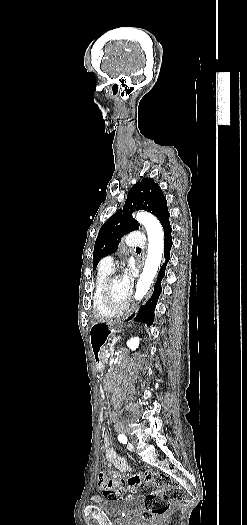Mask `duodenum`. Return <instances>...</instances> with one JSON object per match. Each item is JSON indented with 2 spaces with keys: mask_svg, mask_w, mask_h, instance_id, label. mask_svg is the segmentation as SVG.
I'll return each instance as SVG.
<instances>
[{
  "mask_svg": "<svg viewBox=\"0 0 247 525\" xmlns=\"http://www.w3.org/2000/svg\"><path fill=\"white\" fill-rule=\"evenodd\" d=\"M101 394H102V395H104V392H103V391H101Z\"/></svg>",
  "mask_w": 247,
  "mask_h": 525,
  "instance_id": "duodenum-1",
  "label": "duodenum"
}]
</instances>
